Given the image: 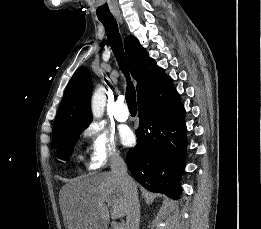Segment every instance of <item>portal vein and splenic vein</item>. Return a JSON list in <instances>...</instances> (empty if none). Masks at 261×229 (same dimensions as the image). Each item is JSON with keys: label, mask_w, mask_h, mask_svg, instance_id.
Instances as JSON below:
<instances>
[{"label": "portal vein and splenic vein", "mask_w": 261, "mask_h": 229, "mask_svg": "<svg viewBox=\"0 0 261 229\" xmlns=\"http://www.w3.org/2000/svg\"><path fill=\"white\" fill-rule=\"evenodd\" d=\"M116 229H123V225H118V227H116Z\"/></svg>", "instance_id": "obj_1"}]
</instances>
